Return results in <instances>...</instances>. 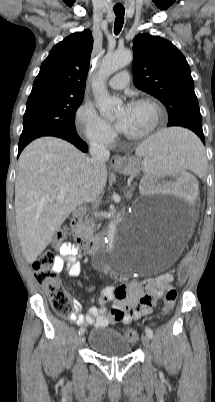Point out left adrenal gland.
<instances>
[{
	"mask_svg": "<svg viewBox=\"0 0 215 402\" xmlns=\"http://www.w3.org/2000/svg\"><path fill=\"white\" fill-rule=\"evenodd\" d=\"M134 190H135V188L132 187L127 191V193L125 194L127 199L130 200L132 198Z\"/></svg>",
	"mask_w": 215,
	"mask_h": 402,
	"instance_id": "1",
	"label": "left adrenal gland"
}]
</instances>
